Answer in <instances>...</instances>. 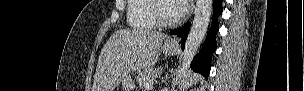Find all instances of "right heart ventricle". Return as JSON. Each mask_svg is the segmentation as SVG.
<instances>
[{
    "label": "right heart ventricle",
    "instance_id": "obj_1",
    "mask_svg": "<svg viewBox=\"0 0 304 91\" xmlns=\"http://www.w3.org/2000/svg\"><path fill=\"white\" fill-rule=\"evenodd\" d=\"M154 0H129L127 9V21L129 25L137 29H153L157 23L152 15Z\"/></svg>",
    "mask_w": 304,
    "mask_h": 91
}]
</instances>
